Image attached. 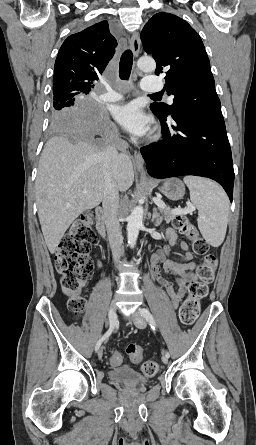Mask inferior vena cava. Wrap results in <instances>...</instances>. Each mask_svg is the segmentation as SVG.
Instances as JSON below:
<instances>
[{"label": "inferior vena cava", "instance_id": "obj_1", "mask_svg": "<svg viewBox=\"0 0 256 445\" xmlns=\"http://www.w3.org/2000/svg\"><path fill=\"white\" fill-rule=\"evenodd\" d=\"M119 155L115 146H108L102 153L104 174L103 210L109 244L114 262L117 264L121 256L123 237L118 220L119 191L117 188V170Z\"/></svg>", "mask_w": 256, "mask_h": 445}]
</instances>
